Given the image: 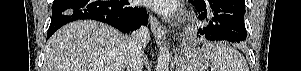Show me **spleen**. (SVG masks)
<instances>
[{
	"instance_id": "1",
	"label": "spleen",
	"mask_w": 301,
	"mask_h": 71,
	"mask_svg": "<svg viewBox=\"0 0 301 71\" xmlns=\"http://www.w3.org/2000/svg\"><path fill=\"white\" fill-rule=\"evenodd\" d=\"M202 51L211 62V71H249L243 55L227 44L207 42Z\"/></svg>"
}]
</instances>
